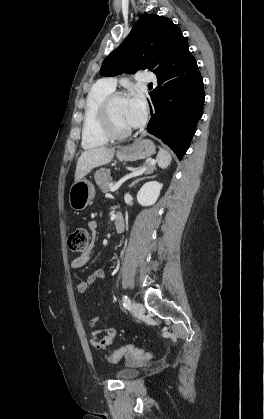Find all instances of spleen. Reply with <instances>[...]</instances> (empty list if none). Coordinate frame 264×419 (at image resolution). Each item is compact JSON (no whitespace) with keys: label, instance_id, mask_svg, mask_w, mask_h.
I'll return each instance as SVG.
<instances>
[{"label":"spleen","instance_id":"obj_1","mask_svg":"<svg viewBox=\"0 0 264 419\" xmlns=\"http://www.w3.org/2000/svg\"><path fill=\"white\" fill-rule=\"evenodd\" d=\"M171 160L172 158H171L170 153L167 150L160 148V151L157 154V158H156L158 165L161 168H167L170 165Z\"/></svg>","mask_w":264,"mask_h":419}]
</instances>
